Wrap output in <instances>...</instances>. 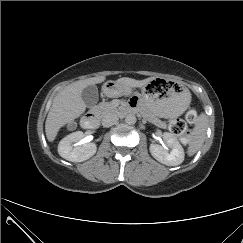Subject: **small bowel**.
<instances>
[{
    "mask_svg": "<svg viewBox=\"0 0 243 243\" xmlns=\"http://www.w3.org/2000/svg\"><path fill=\"white\" fill-rule=\"evenodd\" d=\"M132 107H134L135 105L134 104H131Z\"/></svg>",
    "mask_w": 243,
    "mask_h": 243,
    "instance_id": "c3829d8e",
    "label": "small bowel"
}]
</instances>
